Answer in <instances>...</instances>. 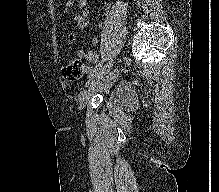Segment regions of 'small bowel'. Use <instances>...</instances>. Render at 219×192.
<instances>
[{"instance_id": "1", "label": "small bowel", "mask_w": 219, "mask_h": 192, "mask_svg": "<svg viewBox=\"0 0 219 192\" xmlns=\"http://www.w3.org/2000/svg\"><path fill=\"white\" fill-rule=\"evenodd\" d=\"M87 0H80L79 3V9L75 11L72 15L73 20L76 22V26L78 29H86L90 25V13L89 11L84 7ZM70 4V3H68ZM92 44H98L99 40L96 36H93L91 38ZM77 55L80 57H84L89 62H97L98 61V54L96 50L89 49L88 51H82L78 50ZM86 71H89L91 67L89 65H86L85 67Z\"/></svg>"}]
</instances>
